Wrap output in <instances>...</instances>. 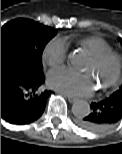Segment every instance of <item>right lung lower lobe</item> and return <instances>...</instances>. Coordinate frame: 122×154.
I'll list each match as a JSON object with an SVG mask.
<instances>
[{"instance_id":"1","label":"right lung lower lobe","mask_w":122,"mask_h":154,"mask_svg":"<svg viewBox=\"0 0 122 154\" xmlns=\"http://www.w3.org/2000/svg\"><path fill=\"white\" fill-rule=\"evenodd\" d=\"M44 80L26 57L1 52V117L17 125L37 120L50 94L42 91Z\"/></svg>"}]
</instances>
